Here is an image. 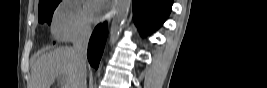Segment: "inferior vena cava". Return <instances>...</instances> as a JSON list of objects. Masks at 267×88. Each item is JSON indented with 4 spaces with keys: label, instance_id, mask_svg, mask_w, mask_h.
<instances>
[{
    "label": "inferior vena cava",
    "instance_id": "1",
    "mask_svg": "<svg viewBox=\"0 0 267 88\" xmlns=\"http://www.w3.org/2000/svg\"><path fill=\"white\" fill-rule=\"evenodd\" d=\"M91 27L85 24L74 37L73 53L77 62L78 72L74 88H86V61L88 42L91 36Z\"/></svg>",
    "mask_w": 267,
    "mask_h": 88
}]
</instances>
